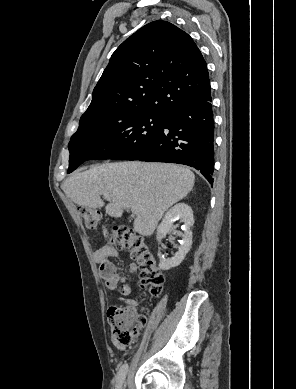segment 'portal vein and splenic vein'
Masks as SVG:
<instances>
[{"mask_svg":"<svg viewBox=\"0 0 296 389\" xmlns=\"http://www.w3.org/2000/svg\"><path fill=\"white\" fill-rule=\"evenodd\" d=\"M107 200H109V197L108 196H106L105 197ZM131 211H132V214H135L136 213V210L134 209V208H131Z\"/></svg>","mask_w":296,"mask_h":389,"instance_id":"portal-vein-and-splenic-vein-1","label":"portal vein and splenic vein"}]
</instances>
